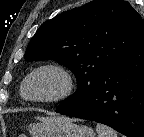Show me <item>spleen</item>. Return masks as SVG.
<instances>
[{"instance_id":"obj_1","label":"spleen","mask_w":144,"mask_h":137,"mask_svg":"<svg viewBox=\"0 0 144 137\" xmlns=\"http://www.w3.org/2000/svg\"><path fill=\"white\" fill-rule=\"evenodd\" d=\"M96 131L98 133V137H118L116 131L103 124H97Z\"/></svg>"}]
</instances>
